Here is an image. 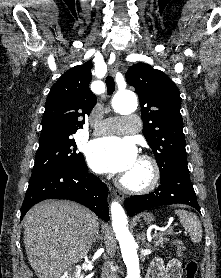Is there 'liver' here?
<instances>
[{
  "mask_svg": "<svg viewBox=\"0 0 221 278\" xmlns=\"http://www.w3.org/2000/svg\"><path fill=\"white\" fill-rule=\"evenodd\" d=\"M24 244L38 278H59L91 249L99 228L96 215L66 200H47L24 217Z\"/></svg>",
  "mask_w": 221,
  "mask_h": 278,
  "instance_id": "liver-1",
  "label": "liver"
}]
</instances>
